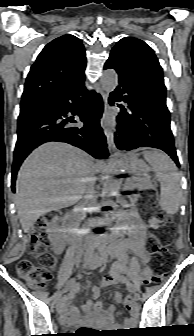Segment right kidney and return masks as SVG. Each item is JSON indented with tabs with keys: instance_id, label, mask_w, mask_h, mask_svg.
<instances>
[{
	"instance_id": "obj_1",
	"label": "right kidney",
	"mask_w": 194,
	"mask_h": 336,
	"mask_svg": "<svg viewBox=\"0 0 194 336\" xmlns=\"http://www.w3.org/2000/svg\"><path fill=\"white\" fill-rule=\"evenodd\" d=\"M58 217L54 216L51 223L49 224V229H48V238L51 242V244L54 247V250H57L59 248V232L60 228L57 223Z\"/></svg>"
}]
</instances>
